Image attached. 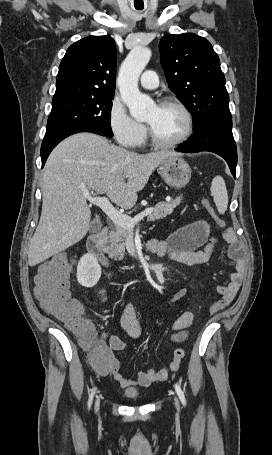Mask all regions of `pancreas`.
<instances>
[{"instance_id":"obj_1","label":"pancreas","mask_w":272,"mask_h":455,"mask_svg":"<svg viewBox=\"0 0 272 455\" xmlns=\"http://www.w3.org/2000/svg\"><path fill=\"white\" fill-rule=\"evenodd\" d=\"M181 202V197L171 199L170 201L159 202L154 208L152 213L148 216L149 221H155L165 218L171 214L173 210ZM129 229L123 228L117 224L114 225L108 235V246L105 252L110 258L123 260L126 250V240L128 238Z\"/></svg>"}]
</instances>
